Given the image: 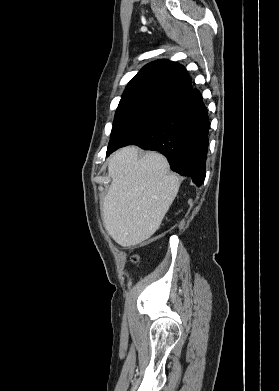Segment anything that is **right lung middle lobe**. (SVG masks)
<instances>
[{"mask_svg":"<svg viewBox=\"0 0 279 391\" xmlns=\"http://www.w3.org/2000/svg\"><path fill=\"white\" fill-rule=\"evenodd\" d=\"M161 109L156 106H139L116 111L107 155L148 127Z\"/></svg>","mask_w":279,"mask_h":391,"instance_id":"obj_1","label":"right lung middle lobe"}]
</instances>
